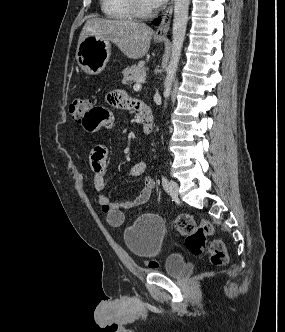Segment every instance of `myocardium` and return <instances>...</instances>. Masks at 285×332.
Here are the masks:
<instances>
[{"label": "myocardium", "instance_id": "f54148a6", "mask_svg": "<svg viewBox=\"0 0 285 332\" xmlns=\"http://www.w3.org/2000/svg\"><path fill=\"white\" fill-rule=\"evenodd\" d=\"M129 2L135 17L149 18L154 14L153 7L145 5L142 0H129Z\"/></svg>", "mask_w": 285, "mask_h": 332}]
</instances>
